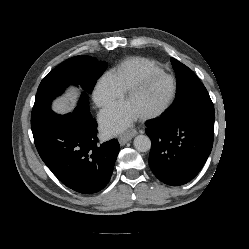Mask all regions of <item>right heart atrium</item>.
I'll use <instances>...</instances> for the list:
<instances>
[{
  "instance_id": "d8ad5b80",
  "label": "right heart atrium",
  "mask_w": 249,
  "mask_h": 249,
  "mask_svg": "<svg viewBox=\"0 0 249 249\" xmlns=\"http://www.w3.org/2000/svg\"><path fill=\"white\" fill-rule=\"evenodd\" d=\"M122 96L123 92L117 87L110 74L100 78L93 93L94 102L101 109L109 107Z\"/></svg>"
}]
</instances>
